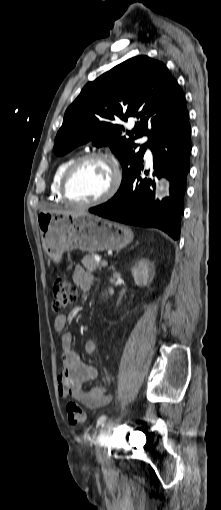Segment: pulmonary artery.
<instances>
[{
  "label": "pulmonary artery",
  "mask_w": 221,
  "mask_h": 510,
  "mask_svg": "<svg viewBox=\"0 0 221 510\" xmlns=\"http://www.w3.org/2000/svg\"><path fill=\"white\" fill-rule=\"evenodd\" d=\"M145 142H147V138H146V137H143L142 139H140V143H145ZM146 156H147L148 158H150V157H151V150H150V148H148V149H147V151H146Z\"/></svg>",
  "instance_id": "e3ab8cb5"
}]
</instances>
